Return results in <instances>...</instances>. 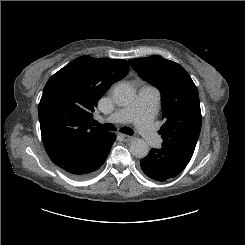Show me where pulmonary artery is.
Segmentation results:
<instances>
[{"label":"pulmonary artery","mask_w":245,"mask_h":245,"mask_svg":"<svg viewBox=\"0 0 245 245\" xmlns=\"http://www.w3.org/2000/svg\"><path fill=\"white\" fill-rule=\"evenodd\" d=\"M161 95L157 88L151 85L142 86L128 105L116 110L108 118V122L126 124L134 122L148 144H155L159 140L153 125V118L157 113Z\"/></svg>","instance_id":"1"}]
</instances>
